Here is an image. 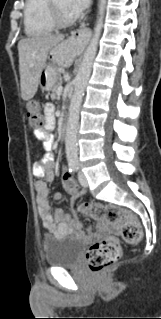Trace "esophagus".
I'll return each mask as SVG.
<instances>
[{
  "instance_id": "esophagus-1",
  "label": "esophagus",
  "mask_w": 161,
  "mask_h": 319,
  "mask_svg": "<svg viewBox=\"0 0 161 319\" xmlns=\"http://www.w3.org/2000/svg\"><path fill=\"white\" fill-rule=\"evenodd\" d=\"M71 38L76 39L80 44L86 45L90 39V30L86 26H80L71 32Z\"/></svg>"
}]
</instances>
